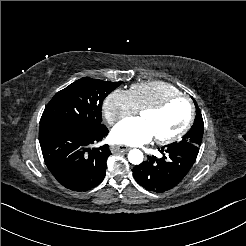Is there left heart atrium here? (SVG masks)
Returning a JSON list of instances; mask_svg holds the SVG:
<instances>
[{"label": "left heart atrium", "mask_w": 246, "mask_h": 246, "mask_svg": "<svg viewBox=\"0 0 246 246\" xmlns=\"http://www.w3.org/2000/svg\"><path fill=\"white\" fill-rule=\"evenodd\" d=\"M111 138L113 142L127 145H142L154 138L149 126L140 118H129L115 126Z\"/></svg>", "instance_id": "left-heart-atrium-1"}]
</instances>
